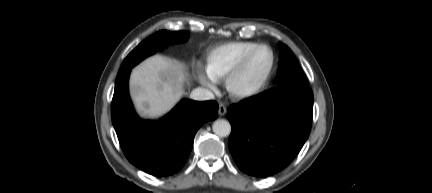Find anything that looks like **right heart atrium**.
Returning <instances> with one entry per match:
<instances>
[{"label": "right heart atrium", "instance_id": "obj_1", "mask_svg": "<svg viewBox=\"0 0 432 193\" xmlns=\"http://www.w3.org/2000/svg\"><path fill=\"white\" fill-rule=\"evenodd\" d=\"M199 81L206 86H213L214 79L209 75L202 71L198 74Z\"/></svg>", "mask_w": 432, "mask_h": 193}]
</instances>
